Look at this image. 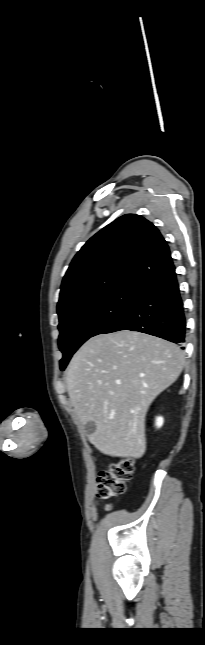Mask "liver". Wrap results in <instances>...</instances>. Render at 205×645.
I'll return each mask as SVG.
<instances>
[{
	"label": "liver",
	"mask_w": 205,
	"mask_h": 645,
	"mask_svg": "<svg viewBox=\"0 0 205 645\" xmlns=\"http://www.w3.org/2000/svg\"><path fill=\"white\" fill-rule=\"evenodd\" d=\"M184 363L176 344L141 332L100 334L85 342L68 365L66 383L80 424L96 425L90 442L105 455L141 458L148 408Z\"/></svg>",
	"instance_id": "1"
}]
</instances>
